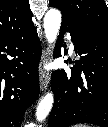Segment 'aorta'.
<instances>
[{
    "instance_id": "aorta-1",
    "label": "aorta",
    "mask_w": 108,
    "mask_h": 127,
    "mask_svg": "<svg viewBox=\"0 0 108 127\" xmlns=\"http://www.w3.org/2000/svg\"><path fill=\"white\" fill-rule=\"evenodd\" d=\"M62 15L58 9L52 8L48 10L44 16V31L47 41L51 44L57 39L59 28L61 25ZM54 96L52 93H47L40 101L37 110L36 118L38 121H43L53 106Z\"/></svg>"
}]
</instances>
